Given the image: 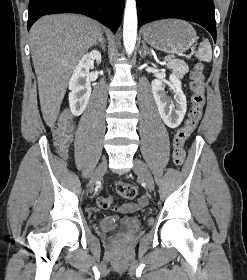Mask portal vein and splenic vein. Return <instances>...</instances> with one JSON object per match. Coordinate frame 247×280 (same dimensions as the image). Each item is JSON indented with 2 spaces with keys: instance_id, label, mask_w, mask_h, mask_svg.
Listing matches in <instances>:
<instances>
[{
  "instance_id": "18ae733b",
  "label": "portal vein and splenic vein",
  "mask_w": 247,
  "mask_h": 280,
  "mask_svg": "<svg viewBox=\"0 0 247 280\" xmlns=\"http://www.w3.org/2000/svg\"><path fill=\"white\" fill-rule=\"evenodd\" d=\"M174 58V56H168L166 59L167 60H171V59H173Z\"/></svg>"
}]
</instances>
